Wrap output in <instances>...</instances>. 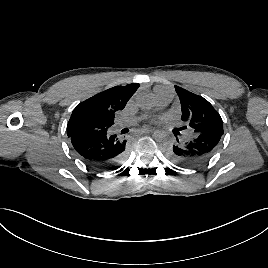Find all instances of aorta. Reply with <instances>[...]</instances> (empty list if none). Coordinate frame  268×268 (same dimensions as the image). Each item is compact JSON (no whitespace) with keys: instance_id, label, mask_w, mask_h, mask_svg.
<instances>
[{"instance_id":"1","label":"aorta","mask_w":268,"mask_h":268,"mask_svg":"<svg viewBox=\"0 0 268 268\" xmlns=\"http://www.w3.org/2000/svg\"><path fill=\"white\" fill-rule=\"evenodd\" d=\"M152 97L148 94H139L136 98V105L140 108H148L151 104ZM152 138L157 143L166 141V134L160 130L153 133Z\"/></svg>"}]
</instances>
